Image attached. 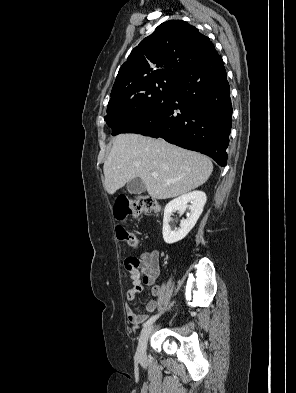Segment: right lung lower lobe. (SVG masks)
<instances>
[{
	"label": "right lung lower lobe",
	"instance_id": "obj_1",
	"mask_svg": "<svg viewBox=\"0 0 296 393\" xmlns=\"http://www.w3.org/2000/svg\"><path fill=\"white\" fill-rule=\"evenodd\" d=\"M231 126L230 87L223 60L213 46L178 78L165 99L121 133L161 137L225 166Z\"/></svg>",
	"mask_w": 296,
	"mask_h": 393
}]
</instances>
